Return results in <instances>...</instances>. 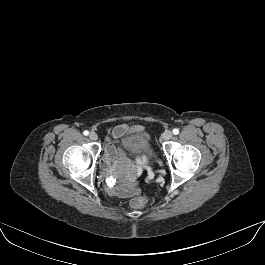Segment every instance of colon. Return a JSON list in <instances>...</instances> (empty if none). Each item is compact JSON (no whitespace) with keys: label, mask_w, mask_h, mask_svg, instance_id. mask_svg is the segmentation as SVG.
<instances>
[{"label":"colon","mask_w":265,"mask_h":265,"mask_svg":"<svg viewBox=\"0 0 265 265\" xmlns=\"http://www.w3.org/2000/svg\"><path fill=\"white\" fill-rule=\"evenodd\" d=\"M147 199L144 196H138L131 200L130 205L134 209H142L146 206Z\"/></svg>","instance_id":"5ec220e1"}]
</instances>
